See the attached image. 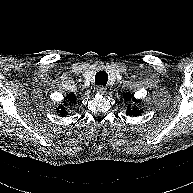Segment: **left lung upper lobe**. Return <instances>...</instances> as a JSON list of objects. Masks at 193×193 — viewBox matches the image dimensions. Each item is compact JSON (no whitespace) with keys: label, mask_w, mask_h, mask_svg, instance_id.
<instances>
[{"label":"left lung upper lobe","mask_w":193,"mask_h":193,"mask_svg":"<svg viewBox=\"0 0 193 193\" xmlns=\"http://www.w3.org/2000/svg\"><path fill=\"white\" fill-rule=\"evenodd\" d=\"M123 99L127 100V101H134L135 103L140 102V100H136L135 98H132V94L127 92L123 95ZM142 112V110H139L138 108L133 107L131 108V106H128V110L127 113L128 115H133V116H137Z\"/></svg>","instance_id":"obj_1"}]
</instances>
